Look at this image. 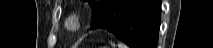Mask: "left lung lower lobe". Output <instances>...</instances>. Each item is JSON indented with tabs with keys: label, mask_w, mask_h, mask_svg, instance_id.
Returning a JSON list of instances; mask_svg holds the SVG:
<instances>
[{
	"label": "left lung lower lobe",
	"mask_w": 213,
	"mask_h": 48,
	"mask_svg": "<svg viewBox=\"0 0 213 48\" xmlns=\"http://www.w3.org/2000/svg\"><path fill=\"white\" fill-rule=\"evenodd\" d=\"M161 0H110L91 28L107 29L131 48H156Z\"/></svg>",
	"instance_id": "1"
}]
</instances>
